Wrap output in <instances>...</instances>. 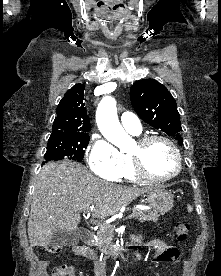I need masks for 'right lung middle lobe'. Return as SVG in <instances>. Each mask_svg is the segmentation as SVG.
I'll return each mask as SVG.
<instances>
[{
    "instance_id": "right-lung-middle-lobe-1",
    "label": "right lung middle lobe",
    "mask_w": 221,
    "mask_h": 276,
    "mask_svg": "<svg viewBox=\"0 0 221 276\" xmlns=\"http://www.w3.org/2000/svg\"><path fill=\"white\" fill-rule=\"evenodd\" d=\"M89 140V135L71 138H49L44 163L62 159L80 162L83 159Z\"/></svg>"
}]
</instances>
